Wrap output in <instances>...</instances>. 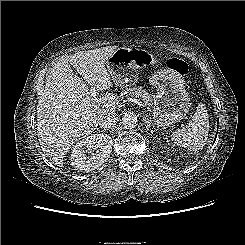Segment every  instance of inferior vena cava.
<instances>
[{
	"instance_id": "602c4592",
	"label": "inferior vena cava",
	"mask_w": 245,
	"mask_h": 245,
	"mask_svg": "<svg viewBox=\"0 0 245 245\" xmlns=\"http://www.w3.org/2000/svg\"><path fill=\"white\" fill-rule=\"evenodd\" d=\"M118 122V115L114 113H107L99 120V126L103 129H112Z\"/></svg>"
}]
</instances>
